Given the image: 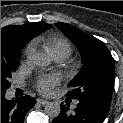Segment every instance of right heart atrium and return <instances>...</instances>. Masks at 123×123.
I'll return each mask as SVG.
<instances>
[{
	"instance_id": "d8ad5b80",
	"label": "right heart atrium",
	"mask_w": 123,
	"mask_h": 123,
	"mask_svg": "<svg viewBox=\"0 0 123 123\" xmlns=\"http://www.w3.org/2000/svg\"><path fill=\"white\" fill-rule=\"evenodd\" d=\"M32 50H33V44H32V43H29V44L26 46L25 50H24L25 56L30 55V53L32 52Z\"/></svg>"
}]
</instances>
